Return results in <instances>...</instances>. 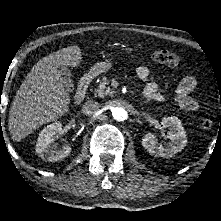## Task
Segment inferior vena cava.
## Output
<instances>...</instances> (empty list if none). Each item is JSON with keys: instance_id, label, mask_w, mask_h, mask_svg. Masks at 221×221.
<instances>
[{"instance_id": "inferior-vena-cava-1", "label": "inferior vena cava", "mask_w": 221, "mask_h": 221, "mask_svg": "<svg viewBox=\"0 0 221 221\" xmlns=\"http://www.w3.org/2000/svg\"><path fill=\"white\" fill-rule=\"evenodd\" d=\"M100 108V105L96 101H87L82 106V112L87 115L96 113Z\"/></svg>"}]
</instances>
